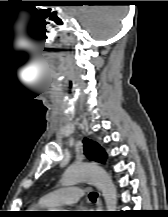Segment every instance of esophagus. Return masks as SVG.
Masks as SVG:
<instances>
[{
	"instance_id": "34e87169",
	"label": "esophagus",
	"mask_w": 168,
	"mask_h": 217,
	"mask_svg": "<svg viewBox=\"0 0 168 217\" xmlns=\"http://www.w3.org/2000/svg\"><path fill=\"white\" fill-rule=\"evenodd\" d=\"M97 205H98V207H99L100 209L102 208V204H101V201H100V200H98Z\"/></svg>"
}]
</instances>
